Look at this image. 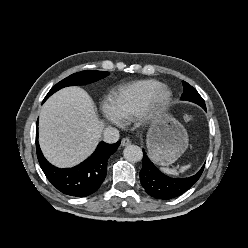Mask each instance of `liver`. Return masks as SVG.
Segmentation results:
<instances>
[{"instance_id": "1", "label": "liver", "mask_w": 248, "mask_h": 248, "mask_svg": "<svg viewBox=\"0 0 248 248\" xmlns=\"http://www.w3.org/2000/svg\"><path fill=\"white\" fill-rule=\"evenodd\" d=\"M104 126L88 93L67 87L53 94L40 110V147L52 164L72 167L94 151Z\"/></svg>"}]
</instances>
